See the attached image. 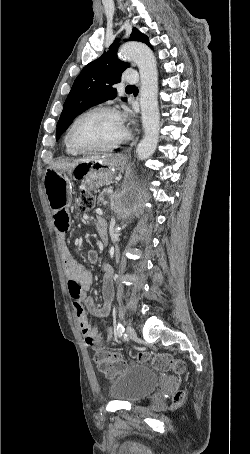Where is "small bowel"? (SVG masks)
<instances>
[{"instance_id": "c3829d8e", "label": "small bowel", "mask_w": 250, "mask_h": 454, "mask_svg": "<svg viewBox=\"0 0 250 454\" xmlns=\"http://www.w3.org/2000/svg\"><path fill=\"white\" fill-rule=\"evenodd\" d=\"M45 191L53 211L55 226L61 233L65 234L70 225L68 208L76 193L75 178L71 173L50 171L45 178ZM97 230L101 237L105 239L106 228L103 221L97 223ZM87 256L90 261H95L97 259L96 250L90 249ZM62 257L68 278V290L73 299V308L79 328L85 341L89 344L93 343L98 332L90 324L88 312L100 317L109 315L113 301V288L111 285L113 269L110 265L104 266V302L101 305H96L85 296V293L90 290L92 285L90 271L79 264L65 248L62 250ZM112 335V330L109 329L107 342L111 341Z\"/></svg>"}]
</instances>
